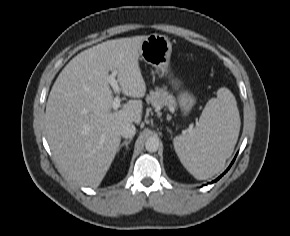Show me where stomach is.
<instances>
[{"instance_id":"1","label":"stomach","mask_w":290,"mask_h":236,"mask_svg":"<svg viewBox=\"0 0 290 236\" xmlns=\"http://www.w3.org/2000/svg\"><path fill=\"white\" fill-rule=\"evenodd\" d=\"M171 53L172 44L168 37L160 34H151L142 42L139 56L145 63L155 67L161 76L170 78L173 89L178 93L176 105L180 107L182 115L186 117L192 111L196 98L192 93L181 89L180 82L169 74Z\"/></svg>"}]
</instances>
